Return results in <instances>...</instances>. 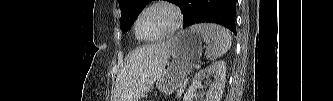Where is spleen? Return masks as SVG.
<instances>
[{"mask_svg": "<svg viewBox=\"0 0 333 101\" xmlns=\"http://www.w3.org/2000/svg\"><path fill=\"white\" fill-rule=\"evenodd\" d=\"M191 31L201 35L207 44L205 55L209 60H216L225 54L231 47L232 37L227 29L216 24H196L190 27Z\"/></svg>", "mask_w": 333, "mask_h": 101, "instance_id": "spleen-1", "label": "spleen"}]
</instances>
